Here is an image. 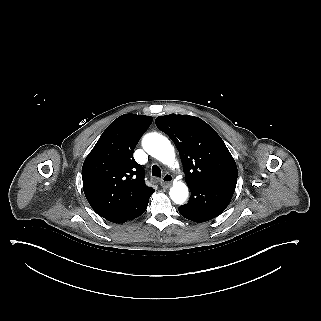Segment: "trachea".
Returning a JSON list of instances; mask_svg holds the SVG:
<instances>
[{
    "mask_svg": "<svg viewBox=\"0 0 321 321\" xmlns=\"http://www.w3.org/2000/svg\"><path fill=\"white\" fill-rule=\"evenodd\" d=\"M152 176L161 177V170L157 165L152 166Z\"/></svg>",
    "mask_w": 321,
    "mask_h": 321,
    "instance_id": "3493384b",
    "label": "trachea"
}]
</instances>
